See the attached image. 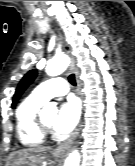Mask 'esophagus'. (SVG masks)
<instances>
[{
  "instance_id": "34e87169",
  "label": "esophagus",
  "mask_w": 135,
  "mask_h": 166,
  "mask_svg": "<svg viewBox=\"0 0 135 166\" xmlns=\"http://www.w3.org/2000/svg\"><path fill=\"white\" fill-rule=\"evenodd\" d=\"M64 51H65V53L67 55L70 56V49H69V47L67 45H64ZM69 69L75 74L76 80H77V84H78V88L80 89L81 88V82H80V79H79V73H78V71L75 68L74 60H73L72 57H70ZM79 95H80L81 100H83V95L80 92H79ZM80 128H81V122L79 123V125L75 129V131L72 133L70 138L67 141H65L64 143L60 144L54 151L56 153H60V152L65 151L73 143V141L77 137V135H78V133L80 131Z\"/></svg>"
}]
</instances>
